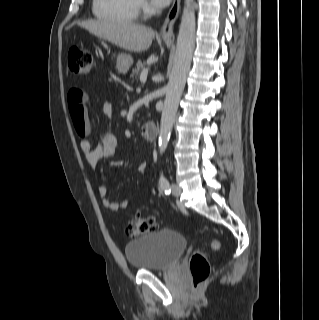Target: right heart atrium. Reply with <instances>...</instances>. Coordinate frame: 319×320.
I'll return each instance as SVG.
<instances>
[{"instance_id":"obj_1","label":"right heart atrium","mask_w":319,"mask_h":320,"mask_svg":"<svg viewBox=\"0 0 319 320\" xmlns=\"http://www.w3.org/2000/svg\"><path fill=\"white\" fill-rule=\"evenodd\" d=\"M138 5L143 10H147L149 8L148 4L144 0H140Z\"/></svg>"}]
</instances>
